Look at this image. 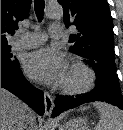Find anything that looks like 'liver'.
Here are the masks:
<instances>
[{"label": "liver", "mask_w": 123, "mask_h": 130, "mask_svg": "<svg viewBox=\"0 0 123 130\" xmlns=\"http://www.w3.org/2000/svg\"><path fill=\"white\" fill-rule=\"evenodd\" d=\"M35 126V114L16 96L1 88V130H24Z\"/></svg>", "instance_id": "6515ba94"}]
</instances>
